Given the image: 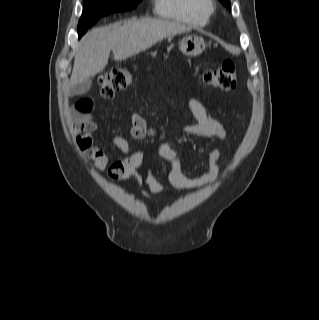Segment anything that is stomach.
<instances>
[{"mask_svg": "<svg viewBox=\"0 0 319 320\" xmlns=\"http://www.w3.org/2000/svg\"><path fill=\"white\" fill-rule=\"evenodd\" d=\"M179 47L184 55L195 57L204 52L206 43L201 37L189 35L181 39Z\"/></svg>", "mask_w": 319, "mask_h": 320, "instance_id": "0dacf381", "label": "stomach"}]
</instances>
